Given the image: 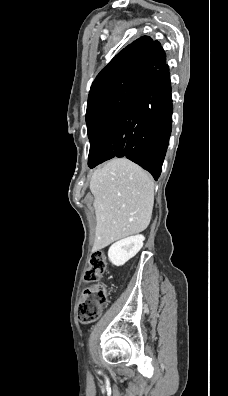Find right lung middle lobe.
I'll return each instance as SVG.
<instances>
[{"label":"right lung middle lobe","mask_w":228,"mask_h":396,"mask_svg":"<svg viewBox=\"0 0 228 396\" xmlns=\"http://www.w3.org/2000/svg\"><path fill=\"white\" fill-rule=\"evenodd\" d=\"M144 70L107 80L89 92L86 123L90 140L88 158L92 166L114 120L144 76Z\"/></svg>","instance_id":"1"}]
</instances>
